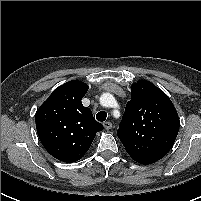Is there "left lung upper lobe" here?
I'll use <instances>...</instances> for the list:
<instances>
[{"mask_svg":"<svg viewBox=\"0 0 201 201\" xmlns=\"http://www.w3.org/2000/svg\"><path fill=\"white\" fill-rule=\"evenodd\" d=\"M177 111L158 87L140 80L131 87L117 135L130 157L140 164L163 158L173 146L179 131Z\"/></svg>","mask_w":201,"mask_h":201,"instance_id":"obj_1","label":"left lung upper lobe"}]
</instances>
